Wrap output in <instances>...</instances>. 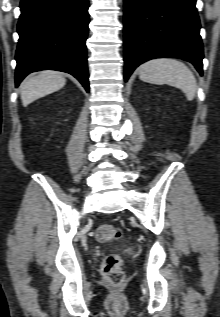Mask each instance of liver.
I'll return each instance as SVG.
<instances>
[{
    "label": "liver",
    "mask_w": 220,
    "mask_h": 317,
    "mask_svg": "<svg viewBox=\"0 0 220 317\" xmlns=\"http://www.w3.org/2000/svg\"><path fill=\"white\" fill-rule=\"evenodd\" d=\"M66 83L64 76L57 71H41L26 79L20 86L24 107L33 101L60 90Z\"/></svg>",
    "instance_id": "obj_1"
}]
</instances>
